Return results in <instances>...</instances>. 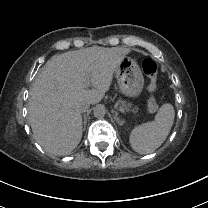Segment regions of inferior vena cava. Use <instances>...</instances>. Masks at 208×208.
Instances as JSON below:
<instances>
[{"mask_svg": "<svg viewBox=\"0 0 208 208\" xmlns=\"http://www.w3.org/2000/svg\"><path fill=\"white\" fill-rule=\"evenodd\" d=\"M90 106V103L88 100H80L78 105H77V109L79 110V112H85Z\"/></svg>", "mask_w": 208, "mask_h": 208, "instance_id": "602c4592", "label": "inferior vena cava"}]
</instances>
